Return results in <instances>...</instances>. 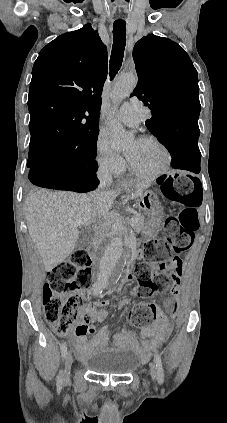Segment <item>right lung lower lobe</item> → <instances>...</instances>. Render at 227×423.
<instances>
[{
    "instance_id": "obj_1",
    "label": "right lung lower lobe",
    "mask_w": 227,
    "mask_h": 423,
    "mask_svg": "<svg viewBox=\"0 0 227 423\" xmlns=\"http://www.w3.org/2000/svg\"><path fill=\"white\" fill-rule=\"evenodd\" d=\"M97 169L98 164L94 159L50 157L30 168L28 178L39 187L83 193L94 190L99 183Z\"/></svg>"
}]
</instances>
